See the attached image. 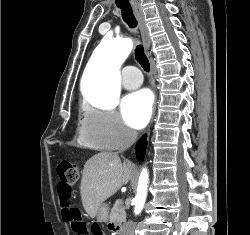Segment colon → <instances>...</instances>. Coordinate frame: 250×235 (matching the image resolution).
Here are the masks:
<instances>
[{
  "mask_svg": "<svg viewBox=\"0 0 250 235\" xmlns=\"http://www.w3.org/2000/svg\"><path fill=\"white\" fill-rule=\"evenodd\" d=\"M59 177L58 194L61 206L63 207L62 216L76 235L87 234V228L82 221L78 210L69 204L72 186L79 178V168L70 161H62L57 165Z\"/></svg>",
  "mask_w": 250,
  "mask_h": 235,
  "instance_id": "1",
  "label": "colon"
}]
</instances>
